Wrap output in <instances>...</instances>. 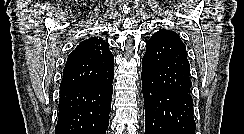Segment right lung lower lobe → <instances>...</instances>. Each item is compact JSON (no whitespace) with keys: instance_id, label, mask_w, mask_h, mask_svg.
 Returning <instances> with one entry per match:
<instances>
[{"instance_id":"obj_1","label":"right lung lower lobe","mask_w":244,"mask_h":134,"mask_svg":"<svg viewBox=\"0 0 244 134\" xmlns=\"http://www.w3.org/2000/svg\"><path fill=\"white\" fill-rule=\"evenodd\" d=\"M114 74L92 85L60 90L55 134H106Z\"/></svg>"}]
</instances>
